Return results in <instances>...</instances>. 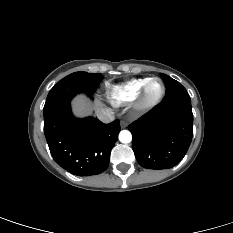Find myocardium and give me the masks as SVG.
<instances>
[{
  "instance_id": "f54148a6",
  "label": "myocardium",
  "mask_w": 233,
  "mask_h": 233,
  "mask_svg": "<svg viewBox=\"0 0 233 233\" xmlns=\"http://www.w3.org/2000/svg\"><path fill=\"white\" fill-rule=\"evenodd\" d=\"M153 82H159L161 85V90H160V93L156 97L150 98L148 97V89ZM164 94H165V85L163 81L160 78H150L143 85V87L141 88L138 94L137 101H136L137 109L140 111H145V110H149L153 108L162 100Z\"/></svg>"
}]
</instances>
